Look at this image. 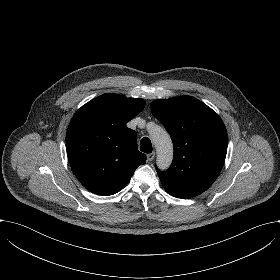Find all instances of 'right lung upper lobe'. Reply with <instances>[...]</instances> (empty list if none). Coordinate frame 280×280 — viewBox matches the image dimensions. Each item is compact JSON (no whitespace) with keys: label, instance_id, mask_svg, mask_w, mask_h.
Wrapping results in <instances>:
<instances>
[{"label":"right lung upper lobe","instance_id":"obj_1","mask_svg":"<svg viewBox=\"0 0 280 280\" xmlns=\"http://www.w3.org/2000/svg\"><path fill=\"white\" fill-rule=\"evenodd\" d=\"M144 106L143 99L103 94L74 114L66 133L67 156L85 188L98 195H113L145 164L137 134L126 126Z\"/></svg>","mask_w":280,"mask_h":280}]
</instances>
